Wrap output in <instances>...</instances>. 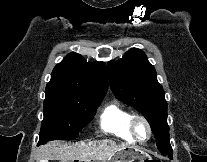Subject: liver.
Here are the masks:
<instances>
[{
	"label": "liver",
	"instance_id": "1",
	"mask_svg": "<svg viewBox=\"0 0 207 162\" xmlns=\"http://www.w3.org/2000/svg\"><path fill=\"white\" fill-rule=\"evenodd\" d=\"M127 147L125 143L103 139L89 143L67 145L61 141H51L39 148L38 161L59 160L60 162H106L119 150Z\"/></svg>",
	"mask_w": 207,
	"mask_h": 162
}]
</instances>
